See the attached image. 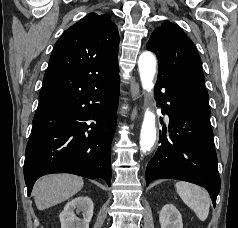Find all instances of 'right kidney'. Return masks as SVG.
<instances>
[{"mask_svg":"<svg viewBox=\"0 0 238 228\" xmlns=\"http://www.w3.org/2000/svg\"><path fill=\"white\" fill-rule=\"evenodd\" d=\"M94 205L92 200L87 196H80L69 201L59 218L61 228H89V222L93 216ZM82 213L83 219L75 214Z\"/></svg>","mask_w":238,"mask_h":228,"instance_id":"1","label":"right kidney"}]
</instances>
